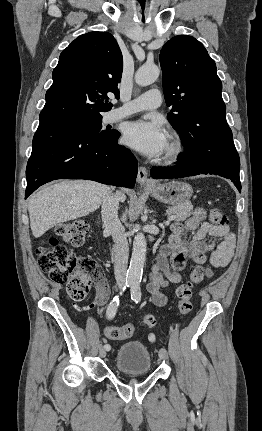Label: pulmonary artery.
Masks as SVG:
<instances>
[{"mask_svg":"<svg viewBox=\"0 0 262 431\" xmlns=\"http://www.w3.org/2000/svg\"><path fill=\"white\" fill-rule=\"evenodd\" d=\"M161 103L162 96L159 90L151 89L135 99L125 102L121 107L111 111L108 115V121L114 122L141 111L156 109L161 105Z\"/></svg>","mask_w":262,"mask_h":431,"instance_id":"1","label":"pulmonary artery"}]
</instances>
